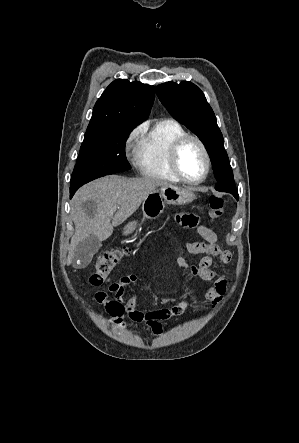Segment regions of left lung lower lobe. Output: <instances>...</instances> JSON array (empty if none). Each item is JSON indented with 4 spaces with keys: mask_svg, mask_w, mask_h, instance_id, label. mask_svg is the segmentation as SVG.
I'll return each instance as SVG.
<instances>
[{
    "mask_svg": "<svg viewBox=\"0 0 299 443\" xmlns=\"http://www.w3.org/2000/svg\"><path fill=\"white\" fill-rule=\"evenodd\" d=\"M231 194L238 200V192H232Z\"/></svg>",
    "mask_w": 299,
    "mask_h": 443,
    "instance_id": "left-lung-lower-lobe-1",
    "label": "left lung lower lobe"
}]
</instances>
